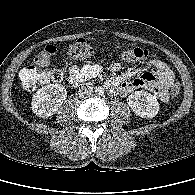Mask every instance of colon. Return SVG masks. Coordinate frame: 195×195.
Returning a JSON list of instances; mask_svg holds the SVG:
<instances>
[{
	"label": "colon",
	"mask_w": 195,
	"mask_h": 195,
	"mask_svg": "<svg viewBox=\"0 0 195 195\" xmlns=\"http://www.w3.org/2000/svg\"><path fill=\"white\" fill-rule=\"evenodd\" d=\"M56 52V47L53 45L46 46L42 52L34 59L32 65L23 68L20 72V78L24 88L33 90L40 85L49 84L53 82H60L63 74L60 70L42 71L41 67L49 64L50 58ZM67 53L72 58L87 59L92 56L93 48L90 43L80 38L71 44ZM149 52L143 48H131L124 50L121 57L126 62H139L148 59ZM181 92V86L178 82L174 83L171 88V96L176 98Z\"/></svg>",
	"instance_id": "1"
}]
</instances>
